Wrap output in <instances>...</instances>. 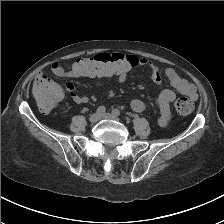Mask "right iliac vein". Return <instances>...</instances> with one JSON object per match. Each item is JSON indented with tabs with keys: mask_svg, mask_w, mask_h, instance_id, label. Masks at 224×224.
Listing matches in <instances>:
<instances>
[{
	"mask_svg": "<svg viewBox=\"0 0 224 224\" xmlns=\"http://www.w3.org/2000/svg\"><path fill=\"white\" fill-rule=\"evenodd\" d=\"M100 119H101V116H100L98 113H93V114L90 116V118H89V120H90L91 123H96V122H98Z\"/></svg>",
	"mask_w": 224,
	"mask_h": 224,
	"instance_id": "1",
	"label": "right iliac vein"
}]
</instances>
